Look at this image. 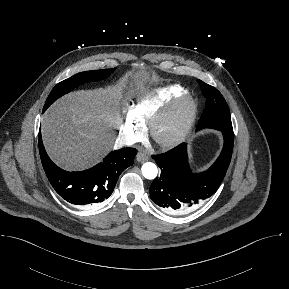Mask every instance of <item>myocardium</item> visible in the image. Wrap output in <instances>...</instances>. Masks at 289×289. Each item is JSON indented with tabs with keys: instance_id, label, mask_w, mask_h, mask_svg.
Segmentation results:
<instances>
[{
	"instance_id": "f54148a6",
	"label": "myocardium",
	"mask_w": 289,
	"mask_h": 289,
	"mask_svg": "<svg viewBox=\"0 0 289 289\" xmlns=\"http://www.w3.org/2000/svg\"><path fill=\"white\" fill-rule=\"evenodd\" d=\"M177 111L182 112V119L177 129L169 136H160V125ZM197 112V100L191 93L184 92L169 101L149 119L148 133L159 146L163 148L175 147L183 142L190 133Z\"/></svg>"
}]
</instances>
